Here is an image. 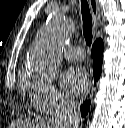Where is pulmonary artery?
I'll return each instance as SVG.
<instances>
[{
	"instance_id": "e3ab8cb5",
	"label": "pulmonary artery",
	"mask_w": 125,
	"mask_h": 128,
	"mask_svg": "<svg viewBox=\"0 0 125 128\" xmlns=\"http://www.w3.org/2000/svg\"><path fill=\"white\" fill-rule=\"evenodd\" d=\"M64 57L68 61L80 62V61L84 60L85 52H84L82 47H80V46H73V47H70L69 49H67L64 52Z\"/></svg>"
}]
</instances>
